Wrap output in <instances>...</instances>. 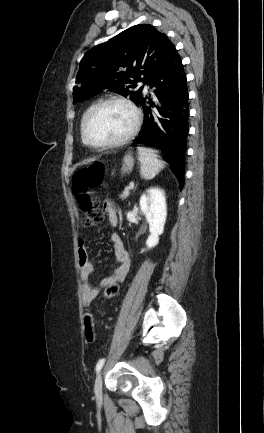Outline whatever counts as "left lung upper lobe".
I'll return each instance as SVG.
<instances>
[{
	"label": "left lung upper lobe",
	"instance_id": "5c2ea615",
	"mask_svg": "<svg viewBox=\"0 0 264 433\" xmlns=\"http://www.w3.org/2000/svg\"><path fill=\"white\" fill-rule=\"evenodd\" d=\"M173 50L168 37L152 25L128 28L85 54L76 77L73 103L106 89L138 103L143 87L138 89L137 83H148Z\"/></svg>",
	"mask_w": 264,
	"mask_h": 433
}]
</instances>
